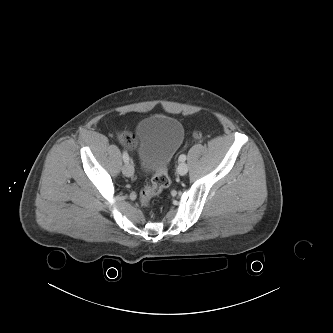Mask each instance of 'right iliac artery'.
<instances>
[{"mask_svg": "<svg viewBox=\"0 0 333 333\" xmlns=\"http://www.w3.org/2000/svg\"><path fill=\"white\" fill-rule=\"evenodd\" d=\"M123 160L125 163L129 162V155L126 151L123 152Z\"/></svg>", "mask_w": 333, "mask_h": 333, "instance_id": "1", "label": "right iliac artery"}]
</instances>
